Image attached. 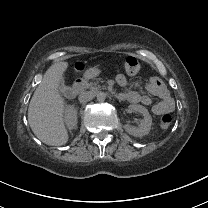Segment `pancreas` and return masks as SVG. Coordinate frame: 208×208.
Here are the masks:
<instances>
[{"mask_svg":"<svg viewBox=\"0 0 208 208\" xmlns=\"http://www.w3.org/2000/svg\"><path fill=\"white\" fill-rule=\"evenodd\" d=\"M84 88L85 89H89V90H91L93 92L100 91L101 89H106L105 86L98 85V82L97 81L90 82V83H84Z\"/></svg>","mask_w":208,"mask_h":208,"instance_id":"obj_1","label":"pancreas"}]
</instances>
